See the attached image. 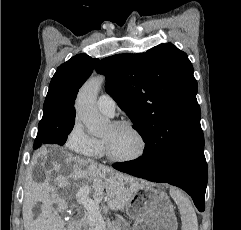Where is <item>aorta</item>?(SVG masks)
<instances>
[{"label": "aorta", "instance_id": "obj_1", "mask_svg": "<svg viewBox=\"0 0 241 230\" xmlns=\"http://www.w3.org/2000/svg\"><path fill=\"white\" fill-rule=\"evenodd\" d=\"M104 82L103 76L89 79L79 90L75 102L77 117L85 125L88 133L93 136L103 135L110 122L99 113L96 106L97 95Z\"/></svg>", "mask_w": 241, "mask_h": 230}]
</instances>
